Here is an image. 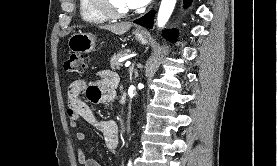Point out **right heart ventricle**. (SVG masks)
Instances as JSON below:
<instances>
[{"mask_svg": "<svg viewBox=\"0 0 277 166\" xmlns=\"http://www.w3.org/2000/svg\"><path fill=\"white\" fill-rule=\"evenodd\" d=\"M79 10L82 19L89 23L101 24L107 21V18L94 10L89 0H79Z\"/></svg>", "mask_w": 277, "mask_h": 166, "instance_id": "right-heart-ventricle-1", "label": "right heart ventricle"}]
</instances>
